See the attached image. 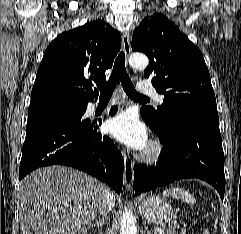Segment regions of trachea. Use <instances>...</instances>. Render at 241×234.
<instances>
[{
	"instance_id": "1",
	"label": "trachea",
	"mask_w": 241,
	"mask_h": 234,
	"mask_svg": "<svg viewBox=\"0 0 241 234\" xmlns=\"http://www.w3.org/2000/svg\"><path fill=\"white\" fill-rule=\"evenodd\" d=\"M119 81L129 97L137 100H149L147 97L136 92L134 85L126 72L124 52H120L116 58L109 80L103 84L97 85L100 90V95L103 97H110Z\"/></svg>"
}]
</instances>
